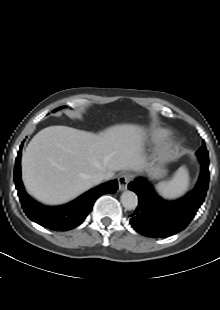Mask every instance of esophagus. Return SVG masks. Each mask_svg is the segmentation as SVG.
I'll use <instances>...</instances> for the list:
<instances>
[{"mask_svg": "<svg viewBox=\"0 0 220 310\" xmlns=\"http://www.w3.org/2000/svg\"><path fill=\"white\" fill-rule=\"evenodd\" d=\"M131 179V176L129 174H121L119 177H118V187H119V190L120 191H124L127 189V185L129 183Z\"/></svg>", "mask_w": 220, "mask_h": 310, "instance_id": "esophagus-1", "label": "esophagus"}]
</instances>
